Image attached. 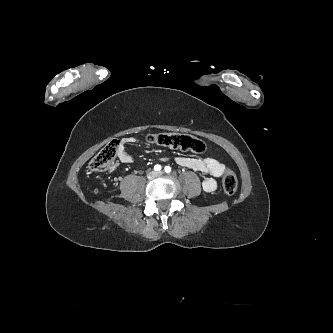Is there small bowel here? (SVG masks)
I'll return each instance as SVG.
<instances>
[{"instance_id":"obj_1","label":"small bowel","mask_w":333,"mask_h":333,"mask_svg":"<svg viewBox=\"0 0 333 333\" xmlns=\"http://www.w3.org/2000/svg\"><path fill=\"white\" fill-rule=\"evenodd\" d=\"M135 142L136 139L134 137H125L119 142L118 158L123 164L133 163V158L127 152V147L133 145ZM162 159L168 160L167 157H163ZM174 160L181 167L207 175L202 182L203 190L207 193L216 191L217 181L215 178H219L223 175L225 170L224 164L213 157L193 158L177 156Z\"/></svg>"}]
</instances>
